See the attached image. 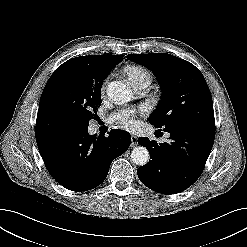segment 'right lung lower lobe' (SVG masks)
Masks as SVG:
<instances>
[{"instance_id":"98d812e1","label":"right lung lower lobe","mask_w":247,"mask_h":247,"mask_svg":"<svg viewBox=\"0 0 247 247\" xmlns=\"http://www.w3.org/2000/svg\"><path fill=\"white\" fill-rule=\"evenodd\" d=\"M37 146L50 175L72 191H87L107 177L111 162L130 146L128 132L112 129L109 136L89 135L88 127L38 113Z\"/></svg>"}]
</instances>
